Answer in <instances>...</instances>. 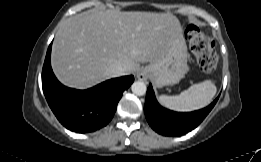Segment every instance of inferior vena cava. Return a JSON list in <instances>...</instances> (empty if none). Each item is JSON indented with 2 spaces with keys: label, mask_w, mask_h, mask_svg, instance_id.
Returning <instances> with one entry per match:
<instances>
[{
  "label": "inferior vena cava",
  "mask_w": 261,
  "mask_h": 162,
  "mask_svg": "<svg viewBox=\"0 0 261 162\" xmlns=\"http://www.w3.org/2000/svg\"><path fill=\"white\" fill-rule=\"evenodd\" d=\"M113 74L116 77V76L128 75L129 72L126 67L119 65L113 69Z\"/></svg>",
  "instance_id": "1"
}]
</instances>
